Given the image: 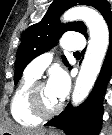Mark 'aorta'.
Returning <instances> with one entry per match:
<instances>
[{
    "label": "aorta",
    "mask_w": 112,
    "mask_h": 135,
    "mask_svg": "<svg viewBox=\"0 0 112 135\" xmlns=\"http://www.w3.org/2000/svg\"><path fill=\"white\" fill-rule=\"evenodd\" d=\"M82 20L89 29L90 40L76 79L72 104L78 106L88 96L100 72L109 44V31L104 18L94 9L75 7L62 17V21Z\"/></svg>",
    "instance_id": "762f6f07"
}]
</instances>
